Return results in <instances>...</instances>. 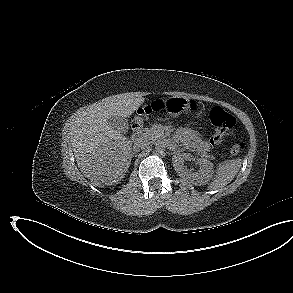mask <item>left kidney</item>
Returning a JSON list of instances; mask_svg holds the SVG:
<instances>
[{
	"label": "left kidney",
	"instance_id": "obj_1",
	"mask_svg": "<svg viewBox=\"0 0 293 293\" xmlns=\"http://www.w3.org/2000/svg\"><path fill=\"white\" fill-rule=\"evenodd\" d=\"M190 153H182L174 155L172 158L173 167L180 177L190 181L192 184L202 185L206 184L213 174V164L204 158L197 159V164L200 166L197 172L188 170L184 165L185 161L192 160Z\"/></svg>",
	"mask_w": 293,
	"mask_h": 293
}]
</instances>
